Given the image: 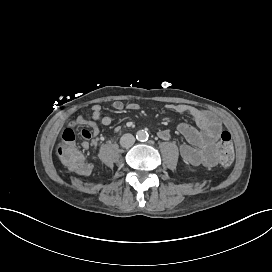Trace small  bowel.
<instances>
[{
  "label": "small bowel",
  "mask_w": 272,
  "mask_h": 272,
  "mask_svg": "<svg viewBox=\"0 0 272 272\" xmlns=\"http://www.w3.org/2000/svg\"><path fill=\"white\" fill-rule=\"evenodd\" d=\"M111 109L116 112L124 109L135 111L139 109V105L136 103L124 104L121 101H114L111 103ZM167 109L177 113L189 114L196 124V126H193L182 122L178 125V132L187 141V143H182L179 146L182 160L192 165L205 164L206 166H210L211 164L206 161V150L219 137L222 130V124L217 116L208 110L187 104H168ZM89 111V118L84 115H78L67 126L73 129L75 126L88 127L82 129L80 132L83 138L82 147L84 149L89 148L90 141L99 135V125L109 126L112 122L110 116L102 114V107L98 104L92 105ZM117 130H119V127H117ZM158 137L166 141L171 139L172 133L166 129L160 130Z\"/></svg>",
  "instance_id": "c3829d8e"
}]
</instances>
